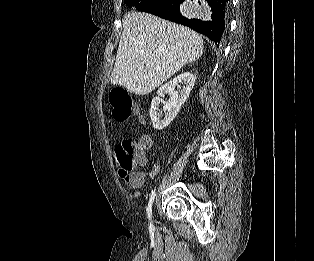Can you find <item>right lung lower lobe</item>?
<instances>
[{"mask_svg": "<svg viewBox=\"0 0 314 261\" xmlns=\"http://www.w3.org/2000/svg\"><path fill=\"white\" fill-rule=\"evenodd\" d=\"M184 1L185 0H164L146 12L172 22L189 26L197 32L207 36L217 46L221 45L227 25L230 0H207L212 11L210 21H202L197 18L188 19L184 17L182 14L185 6Z\"/></svg>", "mask_w": 314, "mask_h": 261, "instance_id": "right-lung-lower-lobe-1", "label": "right lung lower lobe"}]
</instances>
